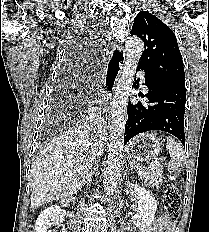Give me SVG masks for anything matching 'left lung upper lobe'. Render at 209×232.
<instances>
[{
    "label": "left lung upper lobe",
    "instance_id": "left-lung-upper-lobe-1",
    "mask_svg": "<svg viewBox=\"0 0 209 232\" xmlns=\"http://www.w3.org/2000/svg\"><path fill=\"white\" fill-rule=\"evenodd\" d=\"M131 35H137L144 42L145 50L138 66L161 83L185 89L182 56L173 31L152 13L140 11Z\"/></svg>",
    "mask_w": 209,
    "mask_h": 232
}]
</instances>
